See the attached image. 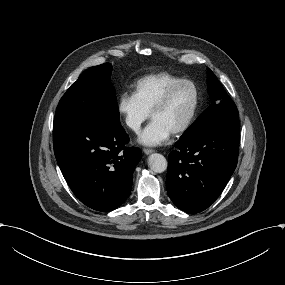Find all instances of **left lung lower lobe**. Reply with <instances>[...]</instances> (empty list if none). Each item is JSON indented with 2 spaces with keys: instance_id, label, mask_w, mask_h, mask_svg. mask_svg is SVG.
<instances>
[{
  "instance_id": "0a47b994",
  "label": "left lung lower lobe",
  "mask_w": 285,
  "mask_h": 285,
  "mask_svg": "<svg viewBox=\"0 0 285 285\" xmlns=\"http://www.w3.org/2000/svg\"><path fill=\"white\" fill-rule=\"evenodd\" d=\"M238 116L214 121L180 139L169 155L167 192L181 210L199 213L219 197L237 165Z\"/></svg>"
}]
</instances>
